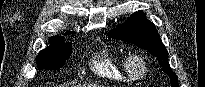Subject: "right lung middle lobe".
Instances as JSON below:
<instances>
[{
  "label": "right lung middle lobe",
  "mask_w": 205,
  "mask_h": 87,
  "mask_svg": "<svg viewBox=\"0 0 205 87\" xmlns=\"http://www.w3.org/2000/svg\"><path fill=\"white\" fill-rule=\"evenodd\" d=\"M72 53V44L58 43L40 51L37 56V68L39 70H58L66 62Z\"/></svg>",
  "instance_id": "1"
}]
</instances>
